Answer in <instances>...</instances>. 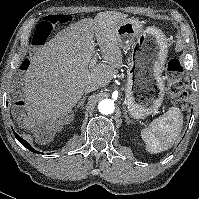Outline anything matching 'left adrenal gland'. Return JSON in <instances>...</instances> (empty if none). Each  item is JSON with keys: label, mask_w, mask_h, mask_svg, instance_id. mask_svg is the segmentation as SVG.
<instances>
[{"label": "left adrenal gland", "mask_w": 199, "mask_h": 199, "mask_svg": "<svg viewBox=\"0 0 199 199\" xmlns=\"http://www.w3.org/2000/svg\"><path fill=\"white\" fill-rule=\"evenodd\" d=\"M124 117H125L126 122H127L128 124H129V123H133V121L129 119V117H128V115H127L126 109H124Z\"/></svg>", "instance_id": "a2214340"}]
</instances>
